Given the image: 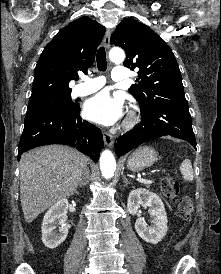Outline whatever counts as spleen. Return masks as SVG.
Instances as JSON below:
<instances>
[{
  "instance_id": "3e777b00",
  "label": "spleen",
  "mask_w": 221,
  "mask_h": 274,
  "mask_svg": "<svg viewBox=\"0 0 221 274\" xmlns=\"http://www.w3.org/2000/svg\"><path fill=\"white\" fill-rule=\"evenodd\" d=\"M180 171L183 175V178L186 181H192L193 180L194 173H193L191 161L189 159L183 160V162L180 165Z\"/></svg>"
}]
</instances>
